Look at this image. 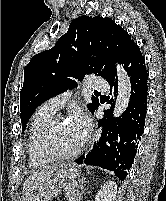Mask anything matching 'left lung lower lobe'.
Returning a JSON list of instances; mask_svg holds the SVG:
<instances>
[{
	"mask_svg": "<svg viewBox=\"0 0 166 201\" xmlns=\"http://www.w3.org/2000/svg\"><path fill=\"white\" fill-rule=\"evenodd\" d=\"M123 64L131 81L128 107L118 118L112 116V110L104 111L107 120L103 123L98 122L99 127L103 126L98 143L94 144L93 150L86 157L82 156L75 161L78 164L85 163L114 171L122 181L134 162L144 131L148 91V73L144 56L136 44L130 48ZM106 80L114 89L112 95L115 96L118 88L117 71ZM105 101L114 104L113 98L109 96ZM101 103L104 102L101 101Z\"/></svg>",
	"mask_w": 166,
	"mask_h": 201,
	"instance_id": "left-lung-lower-lobe-1",
	"label": "left lung lower lobe"
}]
</instances>
